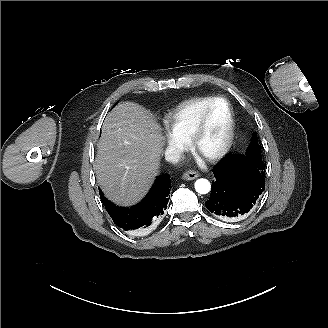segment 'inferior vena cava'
<instances>
[{
  "label": "inferior vena cava",
  "mask_w": 328,
  "mask_h": 328,
  "mask_svg": "<svg viewBox=\"0 0 328 328\" xmlns=\"http://www.w3.org/2000/svg\"><path fill=\"white\" fill-rule=\"evenodd\" d=\"M181 152L175 146H168L165 150V161L169 163H174L180 161Z\"/></svg>",
  "instance_id": "inferior-vena-cava-1"
}]
</instances>
